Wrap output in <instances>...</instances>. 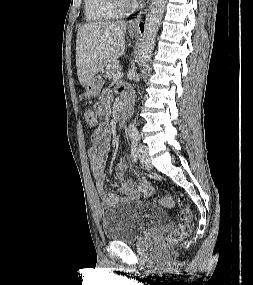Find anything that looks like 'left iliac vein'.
Segmentation results:
<instances>
[{"label": "left iliac vein", "mask_w": 253, "mask_h": 285, "mask_svg": "<svg viewBox=\"0 0 253 285\" xmlns=\"http://www.w3.org/2000/svg\"><path fill=\"white\" fill-rule=\"evenodd\" d=\"M137 154H138V158L142 166L146 169H151L152 164H151V160L148 155V147L146 145L140 144L137 147Z\"/></svg>", "instance_id": "1"}]
</instances>
